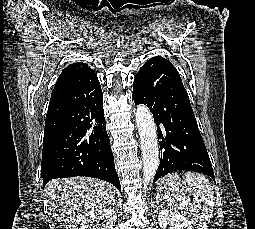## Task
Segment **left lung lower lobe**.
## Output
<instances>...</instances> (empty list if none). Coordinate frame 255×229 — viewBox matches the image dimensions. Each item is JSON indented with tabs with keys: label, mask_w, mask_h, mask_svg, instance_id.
I'll list each match as a JSON object with an SVG mask.
<instances>
[{
	"label": "left lung lower lobe",
	"mask_w": 255,
	"mask_h": 229,
	"mask_svg": "<svg viewBox=\"0 0 255 229\" xmlns=\"http://www.w3.org/2000/svg\"><path fill=\"white\" fill-rule=\"evenodd\" d=\"M133 99L153 113L161 148L154 182L177 170L201 172L213 180L211 161L177 69L163 57H153L134 78Z\"/></svg>",
	"instance_id": "1"
}]
</instances>
